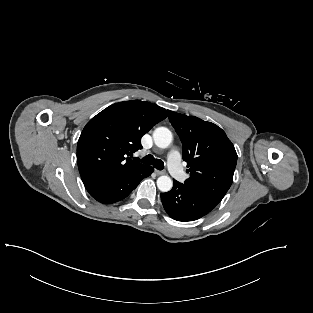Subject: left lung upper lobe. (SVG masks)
Listing matches in <instances>:
<instances>
[{"label":"left lung upper lobe","mask_w":313,"mask_h":313,"mask_svg":"<svg viewBox=\"0 0 313 313\" xmlns=\"http://www.w3.org/2000/svg\"><path fill=\"white\" fill-rule=\"evenodd\" d=\"M169 120L183 145L190 177L185 185L222 200L233 182L237 153L217 125L194 116L169 111Z\"/></svg>","instance_id":"5c2ea615"}]
</instances>
